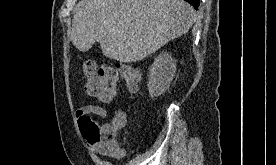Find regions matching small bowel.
Listing matches in <instances>:
<instances>
[{"label":"small bowel","mask_w":276,"mask_h":165,"mask_svg":"<svg viewBox=\"0 0 276 165\" xmlns=\"http://www.w3.org/2000/svg\"><path fill=\"white\" fill-rule=\"evenodd\" d=\"M92 114L97 115L101 118H104L106 116V112L104 111V109L97 105L89 104V105L79 107L76 110V117L78 118V120H80L83 116H90ZM105 128H109V127H105ZM92 148L96 153L103 156H112V155H118L121 153V150H119L116 153L112 152L105 145H102V144L92 146Z\"/></svg>","instance_id":"obj_1"}]
</instances>
